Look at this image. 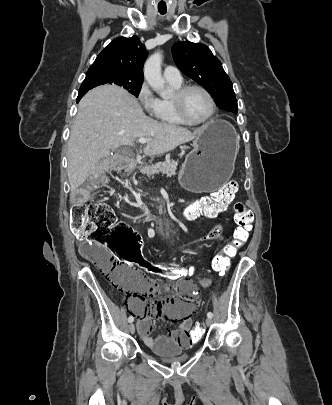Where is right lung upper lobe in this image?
<instances>
[{
  "mask_svg": "<svg viewBox=\"0 0 332 405\" xmlns=\"http://www.w3.org/2000/svg\"><path fill=\"white\" fill-rule=\"evenodd\" d=\"M147 54L137 36L118 37L101 51L87 73L106 70L143 79L142 69Z\"/></svg>",
  "mask_w": 332,
  "mask_h": 405,
  "instance_id": "right-lung-upper-lobe-1",
  "label": "right lung upper lobe"
}]
</instances>
